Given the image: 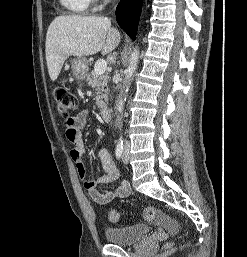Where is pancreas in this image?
I'll return each mask as SVG.
<instances>
[{
	"mask_svg": "<svg viewBox=\"0 0 247 257\" xmlns=\"http://www.w3.org/2000/svg\"><path fill=\"white\" fill-rule=\"evenodd\" d=\"M86 81H87L88 85L95 88L96 95H97L96 96L97 107L104 108L106 106V103L108 102L109 75L108 74L97 75V74H95V72H91L87 75Z\"/></svg>",
	"mask_w": 247,
	"mask_h": 257,
	"instance_id": "obj_1",
	"label": "pancreas"
}]
</instances>
